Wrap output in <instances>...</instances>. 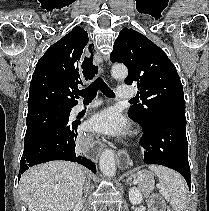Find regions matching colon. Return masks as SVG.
Returning <instances> with one entry per match:
<instances>
[{"label":"colon","mask_w":209,"mask_h":211,"mask_svg":"<svg viewBox=\"0 0 209 211\" xmlns=\"http://www.w3.org/2000/svg\"><path fill=\"white\" fill-rule=\"evenodd\" d=\"M166 211H172L171 209H167Z\"/></svg>","instance_id":"1"}]
</instances>
